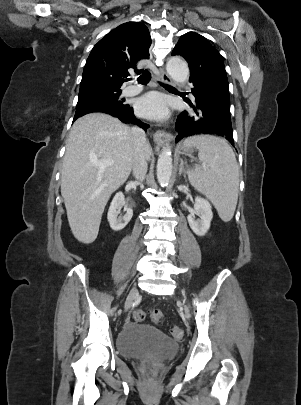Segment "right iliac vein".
Masks as SVG:
<instances>
[{
	"label": "right iliac vein",
	"instance_id": "obj_1",
	"mask_svg": "<svg viewBox=\"0 0 301 405\" xmlns=\"http://www.w3.org/2000/svg\"><path fill=\"white\" fill-rule=\"evenodd\" d=\"M137 295L138 290L136 288H132L125 303V310H128L131 307V304Z\"/></svg>",
	"mask_w": 301,
	"mask_h": 405
}]
</instances>
